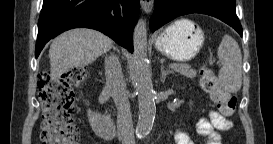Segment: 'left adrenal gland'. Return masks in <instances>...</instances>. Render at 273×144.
Segmentation results:
<instances>
[{
	"label": "left adrenal gland",
	"instance_id": "obj_1",
	"mask_svg": "<svg viewBox=\"0 0 273 144\" xmlns=\"http://www.w3.org/2000/svg\"><path fill=\"white\" fill-rule=\"evenodd\" d=\"M160 70H161V82L164 83V82H165V79H166V76H167L168 74L172 73V71H170V70H168V69L165 70L163 64H161Z\"/></svg>",
	"mask_w": 273,
	"mask_h": 144
}]
</instances>
